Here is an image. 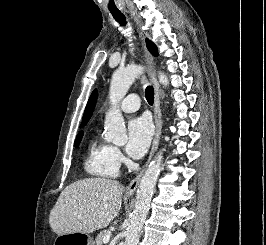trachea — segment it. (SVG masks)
<instances>
[{
    "label": "trachea",
    "mask_w": 266,
    "mask_h": 245,
    "mask_svg": "<svg viewBox=\"0 0 266 245\" xmlns=\"http://www.w3.org/2000/svg\"><path fill=\"white\" fill-rule=\"evenodd\" d=\"M113 17L118 21L123 23L124 17L121 13H112ZM146 100L148 103L153 104L154 102V89L153 87H147L145 90Z\"/></svg>",
    "instance_id": "1"
}]
</instances>
